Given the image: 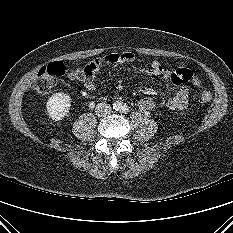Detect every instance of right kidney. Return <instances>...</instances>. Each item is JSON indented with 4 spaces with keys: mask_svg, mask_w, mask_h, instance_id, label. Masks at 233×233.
I'll return each instance as SVG.
<instances>
[{
    "mask_svg": "<svg viewBox=\"0 0 233 233\" xmlns=\"http://www.w3.org/2000/svg\"><path fill=\"white\" fill-rule=\"evenodd\" d=\"M71 98L66 93H55L52 95L47 103L46 110L53 121H60L64 119L70 110Z\"/></svg>",
    "mask_w": 233,
    "mask_h": 233,
    "instance_id": "ca27d5eb",
    "label": "right kidney"
}]
</instances>
